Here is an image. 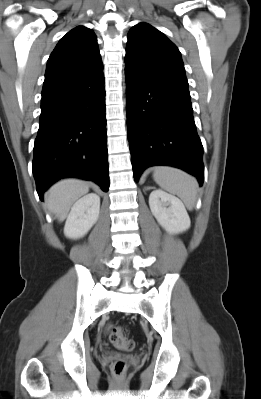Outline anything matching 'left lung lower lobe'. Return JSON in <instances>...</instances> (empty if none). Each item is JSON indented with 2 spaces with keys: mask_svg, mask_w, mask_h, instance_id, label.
Here are the masks:
<instances>
[{
  "mask_svg": "<svg viewBox=\"0 0 261 399\" xmlns=\"http://www.w3.org/2000/svg\"><path fill=\"white\" fill-rule=\"evenodd\" d=\"M128 140L134 179L150 166L178 167L204 179L203 147L187 87L143 79L125 69Z\"/></svg>",
  "mask_w": 261,
  "mask_h": 399,
  "instance_id": "1",
  "label": "left lung lower lobe"
}]
</instances>
